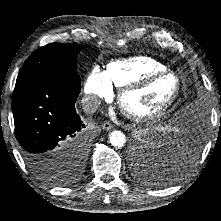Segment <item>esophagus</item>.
Masks as SVG:
<instances>
[{
    "label": "esophagus",
    "mask_w": 221,
    "mask_h": 221,
    "mask_svg": "<svg viewBox=\"0 0 221 221\" xmlns=\"http://www.w3.org/2000/svg\"><path fill=\"white\" fill-rule=\"evenodd\" d=\"M113 128V125L110 122H103L102 123V129L103 130H111Z\"/></svg>",
    "instance_id": "1"
}]
</instances>
